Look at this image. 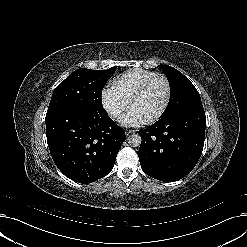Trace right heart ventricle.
<instances>
[{
    "label": "right heart ventricle",
    "instance_id": "obj_1",
    "mask_svg": "<svg viewBox=\"0 0 247 247\" xmlns=\"http://www.w3.org/2000/svg\"><path fill=\"white\" fill-rule=\"evenodd\" d=\"M155 76V72L143 70L126 74L118 82L119 95L123 96L126 100H129L142 84Z\"/></svg>",
    "mask_w": 247,
    "mask_h": 247
}]
</instances>
